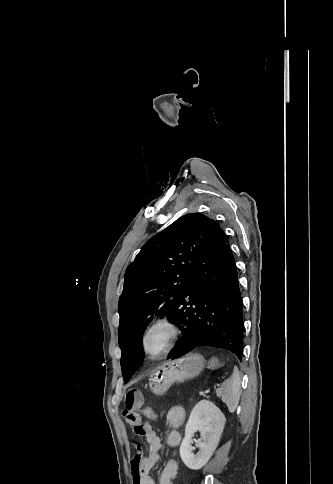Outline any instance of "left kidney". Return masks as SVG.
<instances>
[{
    "mask_svg": "<svg viewBox=\"0 0 333 484\" xmlns=\"http://www.w3.org/2000/svg\"><path fill=\"white\" fill-rule=\"evenodd\" d=\"M225 422V416L211 401L204 399L195 405L185 427V437L180 445L181 459L188 468L198 470L209 461L218 446ZM197 431L201 433L202 441L197 443L199 451L194 454L191 443L192 436Z\"/></svg>",
    "mask_w": 333,
    "mask_h": 484,
    "instance_id": "left-kidney-1",
    "label": "left kidney"
}]
</instances>
